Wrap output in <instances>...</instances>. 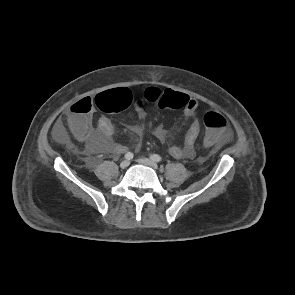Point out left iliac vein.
Here are the masks:
<instances>
[{"label": "left iliac vein", "mask_w": 295, "mask_h": 295, "mask_svg": "<svg viewBox=\"0 0 295 295\" xmlns=\"http://www.w3.org/2000/svg\"><path fill=\"white\" fill-rule=\"evenodd\" d=\"M137 162L142 164V165L149 166V167H151V168H153L155 170L158 169V165L154 161H152V160H150L148 158H139L137 160Z\"/></svg>", "instance_id": "4c4485c4"}]
</instances>
